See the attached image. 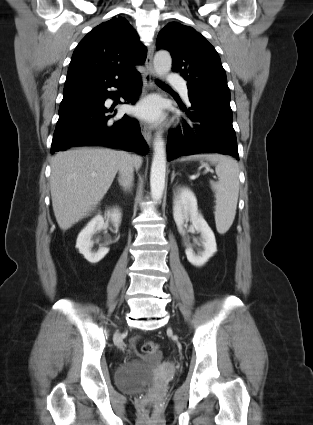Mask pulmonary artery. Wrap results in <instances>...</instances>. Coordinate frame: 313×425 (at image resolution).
Here are the masks:
<instances>
[{
	"instance_id": "obj_1",
	"label": "pulmonary artery",
	"mask_w": 313,
	"mask_h": 425,
	"mask_svg": "<svg viewBox=\"0 0 313 425\" xmlns=\"http://www.w3.org/2000/svg\"><path fill=\"white\" fill-rule=\"evenodd\" d=\"M167 81L171 85H178V86H180L181 95L185 99L188 98V89H187V87L185 85H183V80H182V78L179 75H177L176 73H169L168 74Z\"/></svg>"
}]
</instances>
